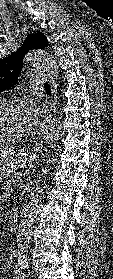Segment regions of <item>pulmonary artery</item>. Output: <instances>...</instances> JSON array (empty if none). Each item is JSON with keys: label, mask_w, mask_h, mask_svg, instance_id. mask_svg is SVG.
<instances>
[{"label": "pulmonary artery", "mask_w": 113, "mask_h": 279, "mask_svg": "<svg viewBox=\"0 0 113 279\" xmlns=\"http://www.w3.org/2000/svg\"><path fill=\"white\" fill-rule=\"evenodd\" d=\"M48 77L45 74H42L40 72H35L31 76V84L36 85V84H41L45 83L47 81Z\"/></svg>", "instance_id": "obj_1"}]
</instances>
